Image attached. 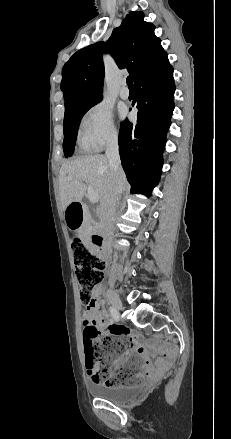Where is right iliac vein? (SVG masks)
<instances>
[{"label":"right iliac vein","mask_w":231,"mask_h":439,"mask_svg":"<svg viewBox=\"0 0 231 439\" xmlns=\"http://www.w3.org/2000/svg\"><path fill=\"white\" fill-rule=\"evenodd\" d=\"M108 299L114 309L113 318L117 321L120 320L119 310L122 309V303L120 299L114 292L109 293Z\"/></svg>","instance_id":"right-iliac-vein-1"}]
</instances>
